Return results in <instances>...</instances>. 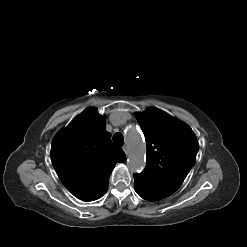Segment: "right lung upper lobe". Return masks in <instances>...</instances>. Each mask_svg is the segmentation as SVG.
I'll list each match as a JSON object with an SVG mask.
<instances>
[{
  "mask_svg": "<svg viewBox=\"0 0 247 247\" xmlns=\"http://www.w3.org/2000/svg\"><path fill=\"white\" fill-rule=\"evenodd\" d=\"M52 164L63 185L77 198L93 201L107 190L109 177L123 150L111 142L105 118L94 108L78 115L54 137Z\"/></svg>",
  "mask_w": 247,
  "mask_h": 247,
  "instance_id": "right-lung-upper-lobe-1",
  "label": "right lung upper lobe"
}]
</instances>
